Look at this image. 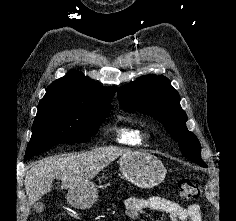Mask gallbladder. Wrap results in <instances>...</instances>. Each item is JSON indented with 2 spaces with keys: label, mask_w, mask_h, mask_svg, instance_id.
<instances>
[{
  "label": "gallbladder",
  "mask_w": 236,
  "mask_h": 221,
  "mask_svg": "<svg viewBox=\"0 0 236 221\" xmlns=\"http://www.w3.org/2000/svg\"><path fill=\"white\" fill-rule=\"evenodd\" d=\"M34 208L36 210V212L40 213L43 211L44 209V205L42 202H37L35 205H34Z\"/></svg>",
  "instance_id": "obj_1"
}]
</instances>
